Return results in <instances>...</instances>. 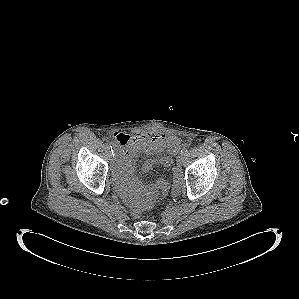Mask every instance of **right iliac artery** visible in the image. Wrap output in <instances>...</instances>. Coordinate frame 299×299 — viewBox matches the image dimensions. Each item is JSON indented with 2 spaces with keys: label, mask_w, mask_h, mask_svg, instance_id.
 Masks as SVG:
<instances>
[{
  "label": "right iliac artery",
  "mask_w": 299,
  "mask_h": 299,
  "mask_svg": "<svg viewBox=\"0 0 299 299\" xmlns=\"http://www.w3.org/2000/svg\"><path fill=\"white\" fill-rule=\"evenodd\" d=\"M111 144L114 146V143L111 142ZM111 150H112V154H113L114 150L112 149V146H111Z\"/></svg>",
  "instance_id": "obj_1"
}]
</instances>
